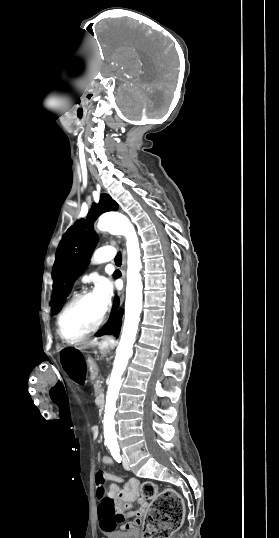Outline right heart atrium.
Segmentation results:
<instances>
[{"label":"right heart atrium","mask_w":279,"mask_h":538,"mask_svg":"<svg viewBox=\"0 0 279 538\" xmlns=\"http://www.w3.org/2000/svg\"><path fill=\"white\" fill-rule=\"evenodd\" d=\"M108 232H109V234H111V235H119V233H118L115 229H113V228H110ZM55 236H56V238H59V234H58V233H56Z\"/></svg>","instance_id":"obj_1"}]
</instances>
